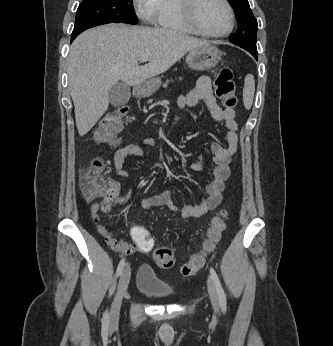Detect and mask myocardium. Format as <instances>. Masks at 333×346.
Wrapping results in <instances>:
<instances>
[{
	"label": "myocardium",
	"instance_id": "f54148a6",
	"mask_svg": "<svg viewBox=\"0 0 333 346\" xmlns=\"http://www.w3.org/2000/svg\"><path fill=\"white\" fill-rule=\"evenodd\" d=\"M181 13L185 18L188 25L198 34L210 37V38H224L228 36L234 29L235 26V13L233 7L228 0H221L225 5L229 14V26L221 33H211L206 31L200 24L197 17V7L200 0H178Z\"/></svg>",
	"mask_w": 333,
	"mask_h": 346
}]
</instances>
